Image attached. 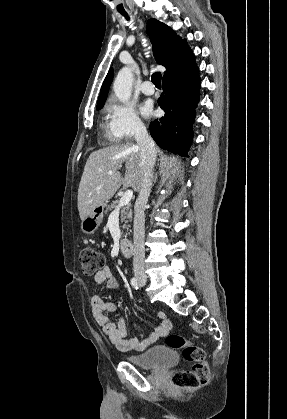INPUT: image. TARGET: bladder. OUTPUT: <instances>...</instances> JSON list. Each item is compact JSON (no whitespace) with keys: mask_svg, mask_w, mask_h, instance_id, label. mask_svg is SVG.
I'll return each mask as SVG.
<instances>
[{"mask_svg":"<svg viewBox=\"0 0 287 419\" xmlns=\"http://www.w3.org/2000/svg\"><path fill=\"white\" fill-rule=\"evenodd\" d=\"M127 359L140 368L151 370H166L178 362L175 352L168 346H155Z\"/></svg>","mask_w":287,"mask_h":419,"instance_id":"obj_1","label":"bladder"}]
</instances>
